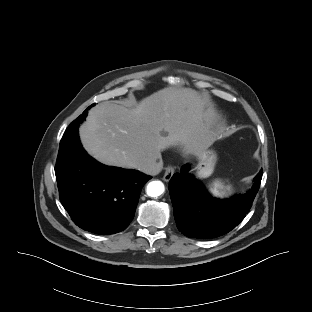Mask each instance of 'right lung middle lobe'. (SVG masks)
<instances>
[{"label": "right lung middle lobe", "instance_id": "right-lung-middle-lobe-1", "mask_svg": "<svg viewBox=\"0 0 312 312\" xmlns=\"http://www.w3.org/2000/svg\"><path fill=\"white\" fill-rule=\"evenodd\" d=\"M95 105V104H93ZM91 105V106H93ZM90 106V107H91ZM88 107L75 121H73L69 127L66 129L64 136L60 142V148L62 146H65L67 144V142L72 138L74 131L78 129V126L80 125V123H82V121L86 118L87 113H88V109L90 108Z\"/></svg>", "mask_w": 312, "mask_h": 312}]
</instances>
